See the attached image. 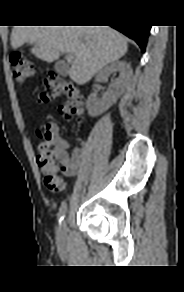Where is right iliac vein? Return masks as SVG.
Here are the masks:
<instances>
[{
  "label": "right iliac vein",
  "instance_id": "right-iliac-vein-1",
  "mask_svg": "<svg viewBox=\"0 0 184 292\" xmlns=\"http://www.w3.org/2000/svg\"><path fill=\"white\" fill-rule=\"evenodd\" d=\"M66 221L64 220L58 230V233H57V240L59 242H62L65 240V237H66Z\"/></svg>",
  "mask_w": 184,
  "mask_h": 292
}]
</instances>
